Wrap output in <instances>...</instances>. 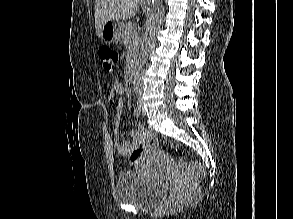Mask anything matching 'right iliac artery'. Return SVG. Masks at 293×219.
I'll list each match as a JSON object with an SVG mask.
<instances>
[{
  "mask_svg": "<svg viewBox=\"0 0 293 219\" xmlns=\"http://www.w3.org/2000/svg\"><path fill=\"white\" fill-rule=\"evenodd\" d=\"M133 114H134L135 117H139L140 114H141V110H140V108H139V107H136V108L134 109Z\"/></svg>",
  "mask_w": 293,
  "mask_h": 219,
  "instance_id": "1",
  "label": "right iliac artery"
}]
</instances>
